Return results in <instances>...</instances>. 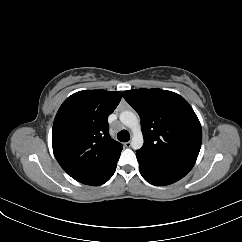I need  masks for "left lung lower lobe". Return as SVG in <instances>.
<instances>
[{"label": "left lung lower lobe", "mask_w": 242, "mask_h": 242, "mask_svg": "<svg viewBox=\"0 0 242 242\" xmlns=\"http://www.w3.org/2000/svg\"><path fill=\"white\" fill-rule=\"evenodd\" d=\"M139 170L143 178L157 186L172 184L183 178L190 170L151 159L145 154L136 151Z\"/></svg>", "instance_id": "0a47b994"}]
</instances>
